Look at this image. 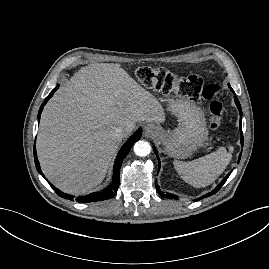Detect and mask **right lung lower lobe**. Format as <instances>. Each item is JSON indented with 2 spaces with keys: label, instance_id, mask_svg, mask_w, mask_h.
<instances>
[{
  "label": "right lung lower lobe",
  "instance_id": "obj_1",
  "mask_svg": "<svg viewBox=\"0 0 269 269\" xmlns=\"http://www.w3.org/2000/svg\"><path fill=\"white\" fill-rule=\"evenodd\" d=\"M59 88V86L55 87L51 93L46 97L44 100L43 104L41 105L39 112H38V121L40 120L41 112L47 103V101L53 96L54 92ZM142 136V129H138L132 136L131 138L122 146L121 150L119 151L117 158L114 163V172H113V178H112V184L105 190L100 191V192H95L88 194L86 196H78L74 197L72 195H67L66 193L61 192L59 189L55 188L52 184L51 187L55 190L56 194L63 197L67 198L69 200H75L79 203H89V202H95V201H103L109 198H112L115 195V192H117L118 187H119V172H120V167L121 164L124 160V158L127 156L129 153L131 147L133 144L138 141ZM34 160H35V165L38 170V172L44 177L43 173L41 172V168L39 165V161L37 158V153L36 149L34 146Z\"/></svg>",
  "mask_w": 269,
  "mask_h": 269
}]
</instances>
